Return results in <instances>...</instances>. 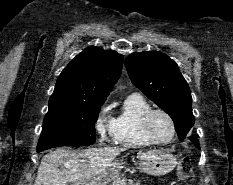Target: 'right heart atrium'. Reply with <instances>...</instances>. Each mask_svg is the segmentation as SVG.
<instances>
[{"label":"right heart atrium","mask_w":233,"mask_h":185,"mask_svg":"<svg viewBox=\"0 0 233 185\" xmlns=\"http://www.w3.org/2000/svg\"><path fill=\"white\" fill-rule=\"evenodd\" d=\"M94 129L101 140L114 136V121L105 106H101L94 120Z\"/></svg>","instance_id":"right-heart-atrium-1"}]
</instances>
